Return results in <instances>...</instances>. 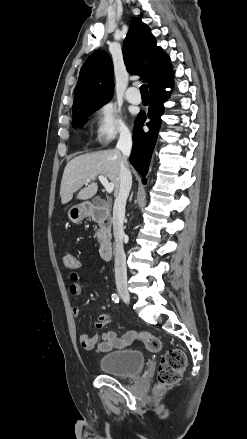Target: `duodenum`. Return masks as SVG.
Here are the masks:
<instances>
[{
  "label": "duodenum",
  "mask_w": 247,
  "mask_h": 439,
  "mask_svg": "<svg viewBox=\"0 0 247 439\" xmlns=\"http://www.w3.org/2000/svg\"><path fill=\"white\" fill-rule=\"evenodd\" d=\"M89 216L97 222H102L108 217V209L105 206L91 204L87 206ZM99 253L102 259L109 260L113 253V244L110 240H103L100 244Z\"/></svg>",
  "instance_id": "duodenum-1"
}]
</instances>
